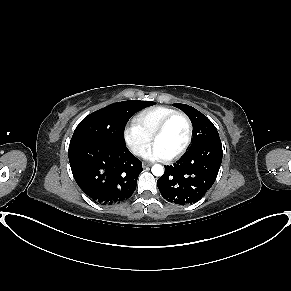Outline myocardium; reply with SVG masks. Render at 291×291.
<instances>
[{"label":"myocardium","mask_w":291,"mask_h":291,"mask_svg":"<svg viewBox=\"0 0 291 291\" xmlns=\"http://www.w3.org/2000/svg\"><path fill=\"white\" fill-rule=\"evenodd\" d=\"M176 117H182L187 125V138L186 141L184 143V145L180 148L179 151H177L175 154L171 155L169 157V159H178L180 158L189 148L191 142H192V138H193V124L190 120V118L188 117L187 114H185L184 112H180V111H175L174 113L168 115L161 123L160 125L157 127V129L155 130V132L152 135V140L155 141L161 134H163L165 132V130L167 129L168 125L170 124V122L176 118Z\"/></svg>","instance_id":"f54148a6"}]
</instances>
